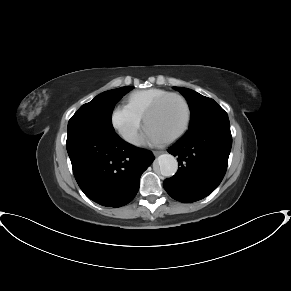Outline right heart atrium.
Masks as SVG:
<instances>
[{
	"instance_id": "obj_1",
	"label": "right heart atrium",
	"mask_w": 291,
	"mask_h": 291,
	"mask_svg": "<svg viewBox=\"0 0 291 291\" xmlns=\"http://www.w3.org/2000/svg\"><path fill=\"white\" fill-rule=\"evenodd\" d=\"M142 123V117L128 105H117L111 114V124L118 134L127 142L135 141Z\"/></svg>"
}]
</instances>
